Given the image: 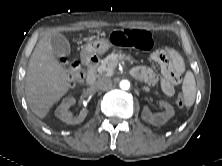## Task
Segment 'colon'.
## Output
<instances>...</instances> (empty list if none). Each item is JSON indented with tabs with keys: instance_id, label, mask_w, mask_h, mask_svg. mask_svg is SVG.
Wrapping results in <instances>:
<instances>
[{
	"instance_id": "5ec220e1",
	"label": "colon",
	"mask_w": 222,
	"mask_h": 166,
	"mask_svg": "<svg viewBox=\"0 0 222 166\" xmlns=\"http://www.w3.org/2000/svg\"><path fill=\"white\" fill-rule=\"evenodd\" d=\"M110 41L114 45L121 47H131L142 50H148L153 46L152 35L146 30H121L111 34ZM73 84L81 83L85 76V70L79 62H70L64 60ZM178 107L184 106L182 97H178L176 100Z\"/></svg>"
}]
</instances>
